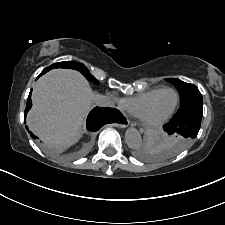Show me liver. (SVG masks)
Instances as JSON below:
<instances>
[{"label": "liver", "instance_id": "1", "mask_svg": "<svg viewBox=\"0 0 225 225\" xmlns=\"http://www.w3.org/2000/svg\"><path fill=\"white\" fill-rule=\"evenodd\" d=\"M95 96L79 72L54 69L34 86L28 126L45 142L69 147L81 137L83 121Z\"/></svg>", "mask_w": 225, "mask_h": 225}]
</instances>
